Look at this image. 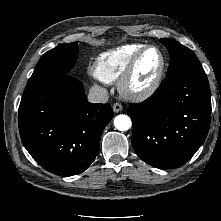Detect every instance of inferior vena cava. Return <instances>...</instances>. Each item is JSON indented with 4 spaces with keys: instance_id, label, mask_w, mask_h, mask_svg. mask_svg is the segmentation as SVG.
Wrapping results in <instances>:
<instances>
[{
    "instance_id": "602c4592",
    "label": "inferior vena cava",
    "mask_w": 221,
    "mask_h": 221,
    "mask_svg": "<svg viewBox=\"0 0 221 221\" xmlns=\"http://www.w3.org/2000/svg\"><path fill=\"white\" fill-rule=\"evenodd\" d=\"M109 95L105 88L93 86L89 90L88 101L91 103H106Z\"/></svg>"
}]
</instances>
